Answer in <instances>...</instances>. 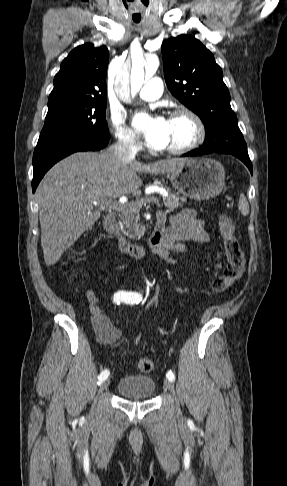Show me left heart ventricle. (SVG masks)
Returning <instances> with one entry per match:
<instances>
[{"instance_id":"b2bd125f","label":"left heart ventricle","mask_w":287,"mask_h":486,"mask_svg":"<svg viewBox=\"0 0 287 486\" xmlns=\"http://www.w3.org/2000/svg\"><path fill=\"white\" fill-rule=\"evenodd\" d=\"M194 136V127L187 118L168 120V129L164 149L187 144Z\"/></svg>"}]
</instances>
